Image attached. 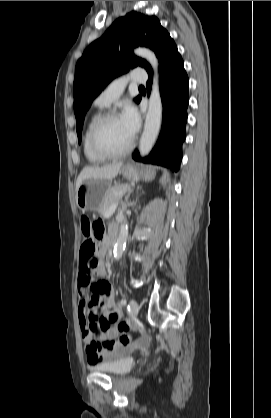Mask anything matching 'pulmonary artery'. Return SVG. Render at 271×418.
Returning a JSON list of instances; mask_svg holds the SVG:
<instances>
[{"instance_id":"e3ab8cb5","label":"pulmonary artery","mask_w":271,"mask_h":418,"mask_svg":"<svg viewBox=\"0 0 271 418\" xmlns=\"http://www.w3.org/2000/svg\"><path fill=\"white\" fill-rule=\"evenodd\" d=\"M146 74L143 70H134L129 75L113 80L95 99L96 106L108 107L114 100L120 97L128 81L134 83H144Z\"/></svg>"}]
</instances>
